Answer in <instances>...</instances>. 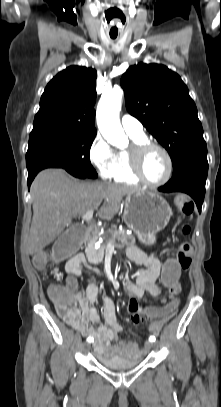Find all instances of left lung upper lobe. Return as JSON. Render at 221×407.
Wrapping results in <instances>:
<instances>
[{
	"label": "left lung upper lobe",
	"mask_w": 221,
	"mask_h": 407,
	"mask_svg": "<svg viewBox=\"0 0 221 407\" xmlns=\"http://www.w3.org/2000/svg\"><path fill=\"white\" fill-rule=\"evenodd\" d=\"M128 112L166 148L173 171L207 154L197 108L180 76L164 65L131 66L121 78Z\"/></svg>",
	"instance_id": "5c2ea615"
}]
</instances>
